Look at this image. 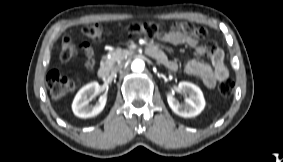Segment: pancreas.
Masks as SVG:
<instances>
[{"label":"pancreas","mask_w":283,"mask_h":162,"mask_svg":"<svg viewBox=\"0 0 283 162\" xmlns=\"http://www.w3.org/2000/svg\"><path fill=\"white\" fill-rule=\"evenodd\" d=\"M126 56V53L121 49H115L107 56H103L101 60V66L112 68L115 63L121 62Z\"/></svg>","instance_id":"obj_1"}]
</instances>
